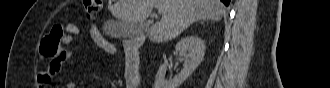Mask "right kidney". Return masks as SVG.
Returning <instances> with one entry per match:
<instances>
[{"label": "right kidney", "instance_id": "obj_1", "mask_svg": "<svg viewBox=\"0 0 330 88\" xmlns=\"http://www.w3.org/2000/svg\"><path fill=\"white\" fill-rule=\"evenodd\" d=\"M176 52L184 56L183 69L173 78L165 79L168 64L164 63L159 67L156 75L154 88H177L182 84L202 62L205 54V43L197 36L182 38L175 47Z\"/></svg>", "mask_w": 330, "mask_h": 88}]
</instances>
